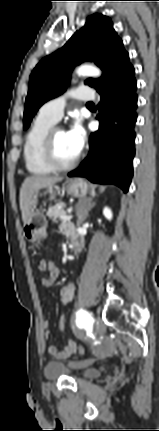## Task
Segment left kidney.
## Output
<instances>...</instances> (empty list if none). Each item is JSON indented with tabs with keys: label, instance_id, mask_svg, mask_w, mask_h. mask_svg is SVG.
I'll return each mask as SVG.
<instances>
[{
	"label": "left kidney",
	"instance_id": "obj_1",
	"mask_svg": "<svg viewBox=\"0 0 159 431\" xmlns=\"http://www.w3.org/2000/svg\"><path fill=\"white\" fill-rule=\"evenodd\" d=\"M103 214H104L105 218H107L108 220L112 219V211L108 207L104 208Z\"/></svg>",
	"mask_w": 159,
	"mask_h": 431
}]
</instances>
